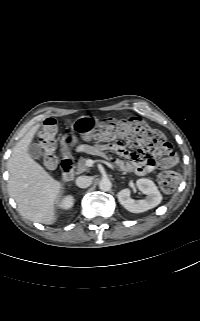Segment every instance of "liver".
Masks as SVG:
<instances>
[{
  "instance_id": "1",
  "label": "liver",
  "mask_w": 200,
  "mask_h": 321,
  "mask_svg": "<svg viewBox=\"0 0 200 321\" xmlns=\"http://www.w3.org/2000/svg\"><path fill=\"white\" fill-rule=\"evenodd\" d=\"M40 126H33L13 148L7 163L10 173L8 191L24 218L51 225L57 218L55 206L63 193V186L28 153Z\"/></svg>"
}]
</instances>
